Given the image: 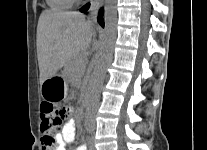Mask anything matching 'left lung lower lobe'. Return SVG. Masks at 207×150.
<instances>
[{
	"instance_id": "1",
	"label": "left lung lower lobe",
	"mask_w": 207,
	"mask_h": 150,
	"mask_svg": "<svg viewBox=\"0 0 207 150\" xmlns=\"http://www.w3.org/2000/svg\"><path fill=\"white\" fill-rule=\"evenodd\" d=\"M89 7H90V4H87V5L83 6L82 8H80V11L86 12L89 9Z\"/></svg>"
}]
</instances>
